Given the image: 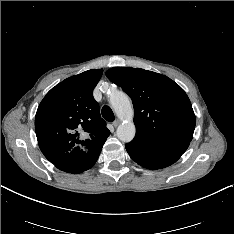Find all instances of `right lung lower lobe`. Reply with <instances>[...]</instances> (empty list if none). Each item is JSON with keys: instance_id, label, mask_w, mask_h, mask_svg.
<instances>
[{"instance_id": "right-lung-lower-lobe-1", "label": "right lung lower lobe", "mask_w": 234, "mask_h": 234, "mask_svg": "<svg viewBox=\"0 0 234 234\" xmlns=\"http://www.w3.org/2000/svg\"><path fill=\"white\" fill-rule=\"evenodd\" d=\"M105 141H103L94 149L90 150L85 156H83L79 160L71 163L59 164L56 165V167L68 173H81L85 170L90 169L97 161Z\"/></svg>"}]
</instances>
